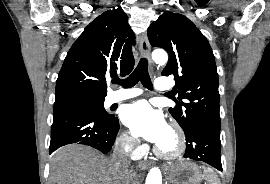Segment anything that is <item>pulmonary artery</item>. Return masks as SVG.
<instances>
[{"label": "pulmonary artery", "mask_w": 270, "mask_h": 184, "mask_svg": "<svg viewBox=\"0 0 270 184\" xmlns=\"http://www.w3.org/2000/svg\"><path fill=\"white\" fill-rule=\"evenodd\" d=\"M154 87L157 92L165 93L171 89V83L167 78L160 77L155 80ZM140 94L141 90L139 89L121 90L110 94L108 100L109 103H116L136 97Z\"/></svg>", "instance_id": "obj_1"}]
</instances>
